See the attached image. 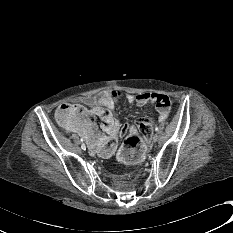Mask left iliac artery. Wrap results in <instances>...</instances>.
Here are the masks:
<instances>
[{
    "label": "left iliac artery",
    "instance_id": "44dca946",
    "mask_svg": "<svg viewBox=\"0 0 233 233\" xmlns=\"http://www.w3.org/2000/svg\"><path fill=\"white\" fill-rule=\"evenodd\" d=\"M155 131H159V128H158V127H155Z\"/></svg>",
    "mask_w": 233,
    "mask_h": 233
}]
</instances>
